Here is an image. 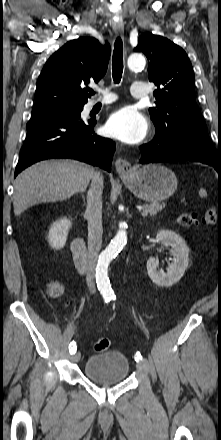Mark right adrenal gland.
<instances>
[{"mask_svg":"<svg viewBox=\"0 0 221 440\" xmlns=\"http://www.w3.org/2000/svg\"><path fill=\"white\" fill-rule=\"evenodd\" d=\"M82 197H83V200H84V202H85V197H84V195H82ZM84 205H85V203H84Z\"/></svg>","mask_w":221,"mask_h":440,"instance_id":"obj_1","label":"right adrenal gland"}]
</instances>
